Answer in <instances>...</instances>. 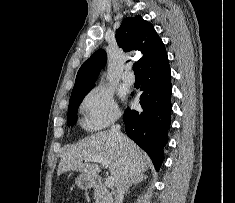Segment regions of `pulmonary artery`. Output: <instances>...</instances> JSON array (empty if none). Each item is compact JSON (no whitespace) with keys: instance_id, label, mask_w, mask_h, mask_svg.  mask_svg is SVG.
I'll use <instances>...</instances> for the list:
<instances>
[{"instance_id":"1","label":"pulmonary artery","mask_w":235,"mask_h":203,"mask_svg":"<svg viewBox=\"0 0 235 203\" xmlns=\"http://www.w3.org/2000/svg\"><path fill=\"white\" fill-rule=\"evenodd\" d=\"M131 67L129 65L126 66L125 71L122 74V80L127 85H132L135 82V77L130 71Z\"/></svg>"}]
</instances>
